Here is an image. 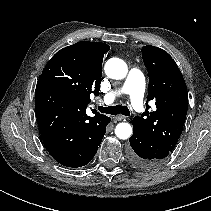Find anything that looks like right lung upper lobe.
Masks as SVG:
<instances>
[{
    "label": "right lung upper lobe",
    "mask_w": 211,
    "mask_h": 211,
    "mask_svg": "<svg viewBox=\"0 0 211 211\" xmlns=\"http://www.w3.org/2000/svg\"><path fill=\"white\" fill-rule=\"evenodd\" d=\"M108 50L105 43L81 41L61 49L50 61H60L65 74L79 87L82 101L88 104L91 93L99 95L103 56Z\"/></svg>",
    "instance_id": "obj_1"
}]
</instances>
